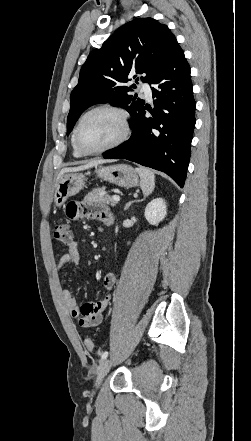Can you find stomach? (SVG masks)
Wrapping results in <instances>:
<instances>
[{
    "mask_svg": "<svg viewBox=\"0 0 251 441\" xmlns=\"http://www.w3.org/2000/svg\"><path fill=\"white\" fill-rule=\"evenodd\" d=\"M95 173L102 180L120 187L132 188L139 185L137 171L127 164L99 167L96 168ZM89 174L90 172L85 174L69 172L62 175L55 187V205L57 207L62 206L69 197L74 196L83 189L85 181L87 180L86 176Z\"/></svg>",
    "mask_w": 251,
    "mask_h": 441,
    "instance_id": "1",
    "label": "stomach"
}]
</instances>
